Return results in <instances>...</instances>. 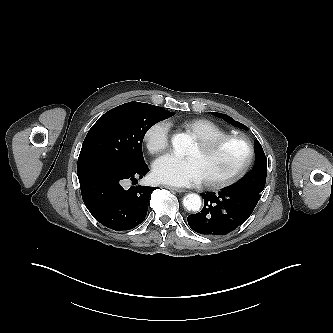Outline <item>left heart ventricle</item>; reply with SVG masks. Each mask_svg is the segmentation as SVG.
I'll return each instance as SVG.
<instances>
[{
    "mask_svg": "<svg viewBox=\"0 0 333 333\" xmlns=\"http://www.w3.org/2000/svg\"><path fill=\"white\" fill-rule=\"evenodd\" d=\"M188 157L197 161L203 179H221L240 166L244 159V149L239 143L230 142L213 151L203 152L196 144Z\"/></svg>",
    "mask_w": 333,
    "mask_h": 333,
    "instance_id": "b2bd125f",
    "label": "left heart ventricle"
}]
</instances>
